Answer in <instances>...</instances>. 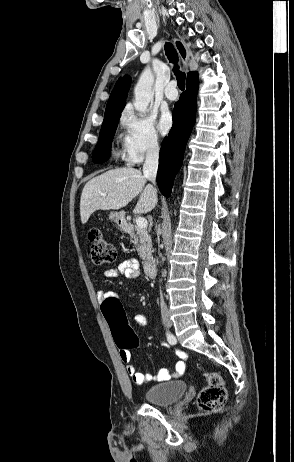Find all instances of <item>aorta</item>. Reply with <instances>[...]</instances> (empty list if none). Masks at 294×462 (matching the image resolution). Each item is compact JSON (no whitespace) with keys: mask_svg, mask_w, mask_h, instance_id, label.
Segmentation results:
<instances>
[{"mask_svg":"<svg viewBox=\"0 0 294 462\" xmlns=\"http://www.w3.org/2000/svg\"><path fill=\"white\" fill-rule=\"evenodd\" d=\"M154 83V76L150 68H146L134 88V107L137 111L145 113L150 101L153 99L152 86Z\"/></svg>","mask_w":294,"mask_h":462,"instance_id":"762f6f07","label":"aorta"}]
</instances>
